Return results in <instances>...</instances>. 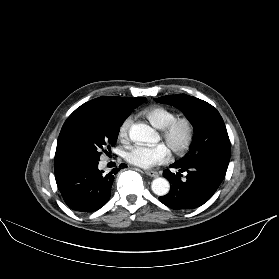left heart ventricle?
<instances>
[{
    "instance_id": "1",
    "label": "left heart ventricle",
    "mask_w": 279,
    "mask_h": 279,
    "mask_svg": "<svg viewBox=\"0 0 279 279\" xmlns=\"http://www.w3.org/2000/svg\"><path fill=\"white\" fill-rule=\"evenodd\" d=\"M185 135H186V128L184 125H180L178 126L172 137L170 138V140L166 143L167 147L169 149L173 148V147H179L183 141H184V138H185Z\"/></svg>"
}]
</instances>
